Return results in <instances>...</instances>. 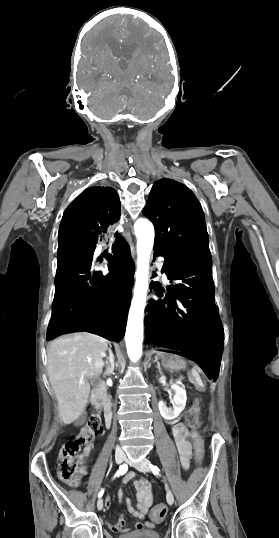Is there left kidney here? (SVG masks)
Listing matches in <instances>:
<instances>
[{"label": "left kidney", "mask_w": 279, "mask_h": 538, "mask_svg": "<svg viewBox=\"0 0 279 538\" xmlns=\"http://www.w3.org/2000/svg\"><path fill=\"white\" fill-rule=\"evenodd\" d=\"M159 382H166L165 376H162ZM171 390H174V398L172 402V404H174L173 408H167L164 402H159L158 404L160 414L165 420H175L180 412H183L186 406L187 396L185 386H181V384H172Z\"/></svg>", "instance_id": "5707ae66"}]
</instances>
